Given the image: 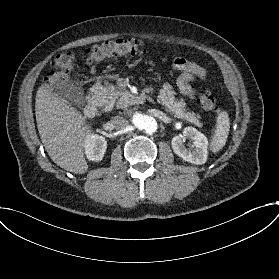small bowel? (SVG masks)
<instances>
[{"label":"small bowel","instance_id":"1","mask_svg":"<svg viewBox=\"0 0 279 279\" xmlns=\"http://www.w3.org/2000/svg\"><path fill=\"white\" fill-rule=\"evenodd\" d=\"M173 65L180 72L176 81L179 91L186 96H193L195 89L192 82L195 79H204L206 70L202 66L181 57L176 58Z\"/></svg>","mask_w":279,"mask_h":279}]
</instances>
